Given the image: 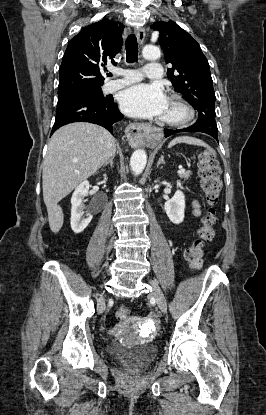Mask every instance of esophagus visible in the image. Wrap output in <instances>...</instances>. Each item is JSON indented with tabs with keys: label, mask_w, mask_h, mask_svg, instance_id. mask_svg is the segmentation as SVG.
<instances>
[{
	"label": "esophagus",
	"mask_w": 266,
	"mask_h": 415,
	"mask_svg": "<svg viewBox=\"0 0 266 415\" xmlns=\"http://www.w3.org/2000/svg\"><path fill=\"white\" fill-rule=\"evenodd\" d=\"M138 43L142 45L145 40V29L140 27L136 30ZM146 125L140 123H131L127 126L125 133L128 142L133 146L143 144L145 140Z\"/></svg>",
	"instance_id": "esophagus-1"
}]
</instances>
